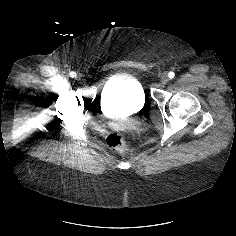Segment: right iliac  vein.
<instances>
[{
  "label": "right iliac vein",
  "instance_id": "1",
  "mask_svg": "<svg viewBox=\"0 0 236 236\" xmlns=\"http://www.w3.org/2000/svg\"><path fill=\"white\" fill-rule=\"evenodd\" d=\"M77 80H78V81H82V80H83L82 76L78 75V76H77Z\"/></svg>",
  "mask_w": 236,
  "mask_h": 236
}]
</instances>
